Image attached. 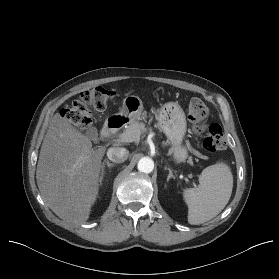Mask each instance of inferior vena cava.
I'll return each mask as SVG.
<instances>
[{"mask_svg": "<svg viewBox=\"0 0 279 279\" xmlns=\"http://www.w3.org/2000/svg\"><path fill=\"white\" fill-rule=\"evenodd\" d=\"M129 151L121 147H111L107 151V157L109 160L115 163H122L127 160Z\"/></svg>", "mask_w": 279, "mask_h": 279, "instance_id": "1", "label": "inferior vena cava"}]
</instances>
